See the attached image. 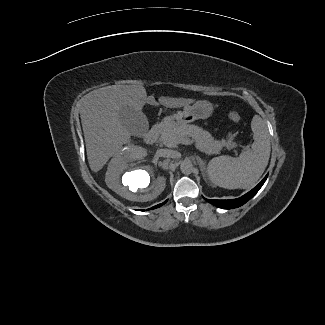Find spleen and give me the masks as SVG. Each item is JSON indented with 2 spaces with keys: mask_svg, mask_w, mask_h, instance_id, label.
<instances>
[{
  "mask_svg": "<svg viewBox=\"0 0 325 325\" xmlns=\"http://www.w3.org/2000/svg\"><path fill=\"white\" fill-rule=\"evenodd\" d=\"M251 129L254 142L250 150L242 152L238 158L220 156L208 163V177L214 185L226 189H248L263 174L270 157V135L259 115L253 117Z\"/></svg>",
  "mask_w": 325,
  "mask_h": 325,
  "instance_id": "1",
  "label": "spleen"
}]
</instances>
